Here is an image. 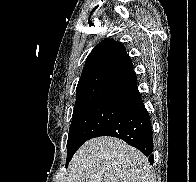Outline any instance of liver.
I'll return each instance as SVG.
<instances>
[{"label": "liver", "instance_id": "6515ba94", "mask_svg": "<svg viewBox=\"0 0 196 182\" xmlns=\"http://www.w3.org/2000/svg\"><path fill=\"white\" fill-rule=\"evenodd\" d=\"M67 182H153L147 158L123 140L94 138L74 154Z\"/></svg>", "mask_w": 196, "mask_h": 182}]
</instances>
